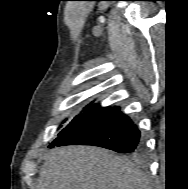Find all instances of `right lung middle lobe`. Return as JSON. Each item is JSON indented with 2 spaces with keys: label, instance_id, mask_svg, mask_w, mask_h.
Returning <instances> with one entry per match:
<instances>
[{
  "label": "right lung middle lobe",
  "instance_id": "right-lung-middle-lobe-1",
  "mask_svg": "<svg viewBox=\"0 0 188 189\" xmlns=\"http://www.w3.org/2000/svg\"><path fill=\"white\" fill-rule=\"evenodd\" d=\"M89 106H86L85 107V109H87ZM93 107V106H92ZM91 107V108H92ZM90 109V108H89ZM88 109V110H89ZM87 110V111H88ZM85 113V112H84ZM83 113V114H84ZM83 114H81V115H79V116H76V117H74V119L64 128V129H62L59 133H58V137L61 135V134H63L66 130H68Z\"/></svg>",
  "mask_w": 188,
  "mask_h": 189
}]
</instances>
